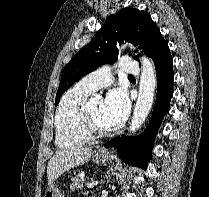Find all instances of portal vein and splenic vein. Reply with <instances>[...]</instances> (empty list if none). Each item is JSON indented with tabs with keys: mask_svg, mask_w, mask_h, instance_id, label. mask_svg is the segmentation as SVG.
<instances>
[{
	"mask_svg": "<svg viewBox=\"0 0 209 197\" xmlns=\"http://www.w3.org/2000/svg\"><path fill=\"white\" fill-rule=\"evenodd\" d=\"M97 184H98L97 181L88 182V183H87V187H88V188H93V187L96 186Z\"/></svg>",
	"mask_w": 209,
	"mask_h": 197,
	"instance_id": "obj_1",
	"label": "portal vein and splenic vein"
}]
</instances>
